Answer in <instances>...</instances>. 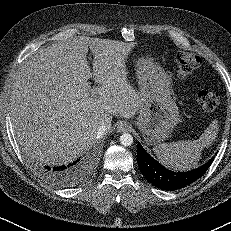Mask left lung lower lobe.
Instances as JSON below:
<instances>
[{"label": "left lung lower lobe", "mask_w": 231, "mask_h": 231, "mask_svg": "<svg viewBox=\"0 0 231 231\" xmlns=\"http://www.w3.org/2000/svg\"><path fill=\"white\" fill-rule=\"evenodd\" d=\"M137 146V162L141 173L154 186L166 191L180 189L195 182L213 162L211 159L201 167L188 172H173L152 158L140 144Z\"/></svg>", "instance_id": "1"}]
</instances>
